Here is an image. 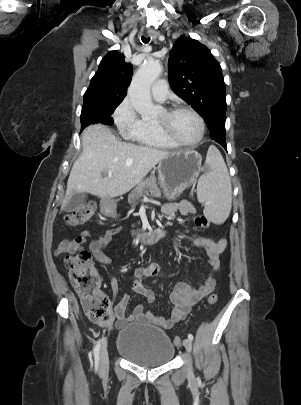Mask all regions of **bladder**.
Segmentation results:
<instances>
[{
	"label": "bladder",
	"mask_w": 301,
	"mask_h": 405,
	"mask_svg": "<svg viewBox=\"0 0 301 405\" xmlns=\"http://www.w3.org/2000/svg\"><path fill=\"white\" fill-rule=\"evenodd\" d=\"M116 351L134 364L156 367L170 362L175 348L163 330L148 324H134L119 331Z\"/></svg>",
	"instance_id": "bladder-1"
}]
</instances>
